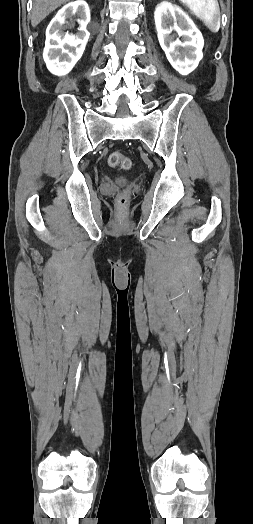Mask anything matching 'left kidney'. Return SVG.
Wrapping results in <instances>:
<instances>
[{
	"mask_svg": "<svg viewBox=\"0 0 253 524\" xmlns=\"http://www.w3.org/2000/svg\"><path fill=\"white\" fill-rule=\"evenodd\" d=\"M157 36L161 48L172 67L182 75H188L203 57L204 39L189 16L168 1L157 5L154 12ZM175 31L182 41L174 40Z\"/></svg>",
	"mask_w": 253,
	"mask_h": 524,
	"instance_id": "left-kidney-1",
	"label": "left kidney"
}]
</instances>
